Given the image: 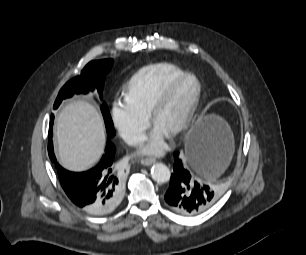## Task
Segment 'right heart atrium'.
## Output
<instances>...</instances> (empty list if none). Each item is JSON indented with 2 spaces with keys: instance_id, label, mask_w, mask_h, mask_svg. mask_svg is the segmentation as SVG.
Listing matches in <instances>:
<instances>
[{
  "instance_id": "right-heart-atrium-1",
  "label": "right heart atrium",
  "mask_w": 306,
  "mask_h": 255,
  "mask_svg": "<svg viewBox=\"0 0 306 255\" xmlns=\"http://www.w3.org/2000/svg\"><path fill=\"white\" fill-rule=\"evenodd\" d=\"M111 118L126 143L132 146L141 143L147 127L145 115L136 111L126 100L117 99L112 103Z\"/></svg>"
}]
</instances>
